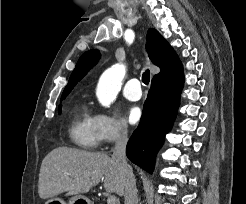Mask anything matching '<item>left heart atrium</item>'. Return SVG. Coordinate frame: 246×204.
<instances>
[{
  "label": "left heart atrium",
  "mask_w": 246,
  "mask_h": 204,
  "mask_svg": "<svg viewBox=\"0 0 246 204\" xmlns=\"http://www.w3.org/2000/svg\"><path fill=\"white\" fill-rule=\"evenodd\" d=\"M142 117V111L137 106H132L127 111V120L130 124H136Z\"/></svg>",
  "instance_id": "obj_1"
}]
</instances>
